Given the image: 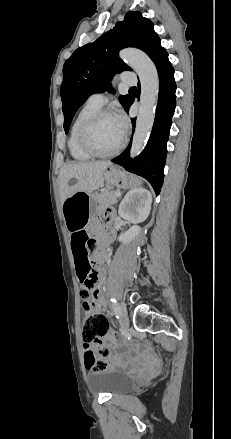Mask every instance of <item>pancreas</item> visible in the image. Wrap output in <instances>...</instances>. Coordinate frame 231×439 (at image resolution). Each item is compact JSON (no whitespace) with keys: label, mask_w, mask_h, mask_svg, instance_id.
Returning a JSON list of instances; mask_svg holds the SVG:
<instances>
[{"label":"pancreas","mask_w":231,"mask_h":439,"mask_svg":"<svg viewBox=\"0 0 231 439\" xmlns=\"http://www.w3.org/2000/svg\"><path fill=\"white\" fill-rule=\"evenodd\" d=\"M116 191L106 189L99 195H97L96 201L101 208L117 202Z\"/></svg>","instance_id":"pancreas-1"}]
</instances>
